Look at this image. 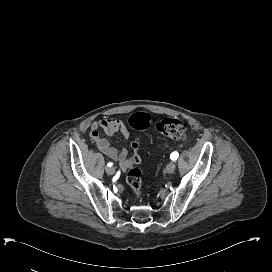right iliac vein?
Here are the masks:
<instances>
[{
  "label": "right iliac vein",
  "mask_w": 272,
  "mask_h": 272,
  "mask_svg": "<svg viewBox=\"0 0 272 272\" xmlns=\"http://www.w3.org/2000/svg\"><path fill=\"white\" fill-rule=\"evenodd\" d=\"M106 172L109 175H113L115 173V168L112 166H108V167H106Z\"/></svg>",
  "instance_id": "obj_1"
}]
</instances>
